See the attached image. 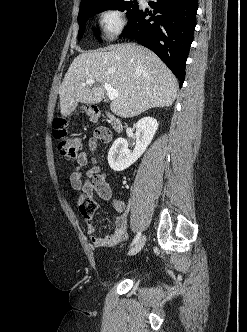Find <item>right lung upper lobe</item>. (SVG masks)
Here are the masks:
<instances>
[{"label": "right lung upper lobe", "instance_id": "cb5924a9", "mask_svg": "<svg viewBox=\"0 0 247 332\" xmlns=\"http://www.w3.org/2000/svg\"><path fill=\"white\" fill-rule=\"evenodd\" d=\"M101 1H105V0H81L80 9H83V8L88 7L90 5L99 3Z\"/></svg>", "mask_w": 247, "mask_h": 332}]
</instances>
